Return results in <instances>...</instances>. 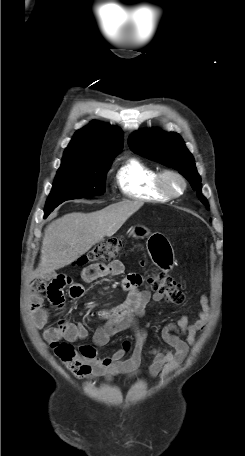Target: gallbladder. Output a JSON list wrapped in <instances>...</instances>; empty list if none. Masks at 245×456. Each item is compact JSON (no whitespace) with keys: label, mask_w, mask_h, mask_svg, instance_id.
I'll list each match as a JSON object with an SVG mask.
<instances>
[{"label":"gallbladder","mask_w":245,"mask_h":456,"mask_svg":"<svg viewBox=\"0 0 245 456\" xmlns=\"http://www.w3.org/2000/svg\"><path fill=\"white\" fill-rule=\"evenodd\" d=\"M54 277H55V274L52 273V274H49V275L45 278V280H46V281H49V280L53 279Z\"/></svg>","instance_id":"gallbladder-1"}]
</instances>
